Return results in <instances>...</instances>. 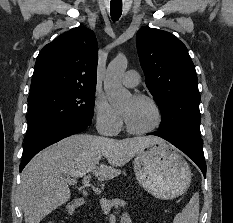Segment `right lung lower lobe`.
<instances>
[{
	"instance_id": "98d812e1",
	"label": "right lung lower lobe",
	"mask_w": 233,
	"mask_h": 223,
	"mask_svg": "<svg viewBox=\"0 0 233 223\" xmlns=\"http://www.w3.org/2000/svg\"><path fill=\"white\" fill-rule=\"evenodd\" d=\"M91 119L92 118L88 117H79L67 120L30 141L24 146L23 149V158L20 164V172L39 151L60 141L65 137L85 130L87 126L91 124Z\"/></svg>"
}]
</instances>
